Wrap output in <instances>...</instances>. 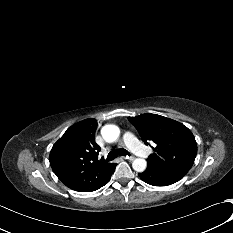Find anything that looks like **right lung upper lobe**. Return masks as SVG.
<instances>
[{"label":"right lung upper lobe","mask_w":233,"mask_h":233,"mask_svg":"<svg viewBox=\"0 0 233 233\" xmlns=\"http://www.w3.org/2000/svg\"><path fill=\"white\" fill-rule=\"evenodd\" d=\"M97 125L94 119L76 123L67 129L51 149L49 161L52 170L72 190H96L116 166L97 158L100 151L94 136Z\"/></svg>","instance_id":"cb5924a9"}]
</instances>
